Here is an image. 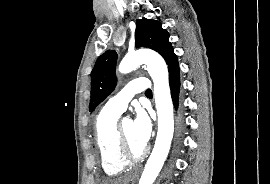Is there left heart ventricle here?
Instances as JSON below:
<instances>
[{"label":"left heart ventricle","mask_w":270,"mask_h":184,"mask_svg":"<svg viewBox=\"0 0 270 184\" xmlns=\"http://www.w3.org/2000/svg\"><path fill=\"white\" fill-rule=\"evenodd\" d=\"M122 127L132 150L134 152H139L142 150L145 145L137 139L133 121L130 119H124L122 122Z\"/></svg>","instance_id":"b2bd125f"}]
</instances>
